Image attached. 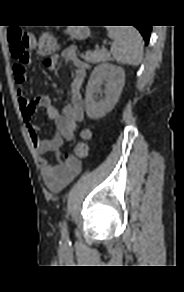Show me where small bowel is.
I'll return each instance as SVG.
<instances>
[{
  "mask_svg": "<svg viewBox=\"0 0 184 292\" xmlns=\"http://www.w3.org/2000/svg\"><path fill=\"white\" fill-rule=\"evenodd\" d=\"M29 61L30 59H28L25 65L16 63L13 67L21 116L38 155L44 156L49 152L58 154L61 146L65 142L74 140L77 125L83 119L82 85L89 66L79 59L75 46L67 47L61 56L53 55L44 61V66L51 70H55L61 65H72L74 67L70 83V101L60 111L51 103L50 98L46 95L38 96L33 100L27 98L25 82L26 65ZM39 108H44L48 117L55 121L56 131L51 138H41L38 127L32 121L34 113ZM41 169L44 182L48 189L58 192L66 187L80 173L81 162L77 158H71L66 162L59 160L52 162L46 158H42Z\"/></svg>",
  "mask_w": 184,
  "mask_h": 292,
  "instance_id": "c3829d8e",
  "label": "small bowel"
}]
</instances>
